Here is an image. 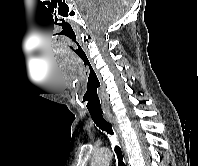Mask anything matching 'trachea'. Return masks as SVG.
Here are the masks:
<instances>
[{"label":"trachea","instance_id":"obj_1","mask_svg":"<svg viewBox=\"0 0 198 166\" xmlns=\"http://www.w3.org/2000/svg\"><path fill=\"white\" fill-rule=\"evenodd\" d=\"M92 120L101 130L107 132L110 135H114L112 130V125L103 117L102 113H90ZM114 151L118 158V166H126L123 162V155L121 148L118 145H115Z\"/></svg>","mask_w":198,"mask_h":166}]
</instances>
